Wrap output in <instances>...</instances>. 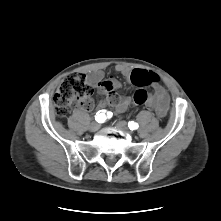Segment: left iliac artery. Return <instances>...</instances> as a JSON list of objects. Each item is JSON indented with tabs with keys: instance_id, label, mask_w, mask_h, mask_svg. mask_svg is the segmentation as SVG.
I'll return each instance as SVG.
<instances>
[{
	"instance_id": "left-iliac-artery-1",
	"label": "left iliac artery",
	"mask_w": 221,
	"mask_h": 221,
	"mask_svg": "<svg viewBox=\"0 0 221 221\" xmlns=\"http://www.w3.org/2000/svg\"><path fill=\"white\" fill-rule=\"evenodd\" d=\"M128 127L130 128V130H136L139 127V125L136 122L130 121L128 123Z\"/></svg>"
}]
</instances>
